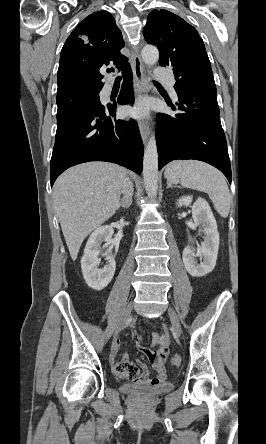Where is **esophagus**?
<instances>
[{
  "label": "esophagus",
  "mask_w": 266,
  "mask_h": 444,
  "mask_svg": "<svg viewBox=\"0 0 266 444\" xmlns=\"http://www.w3.org/2000/svg\"><path fill=\"white\" fill-rule=\"evenodd\" d=\"M132 69L133 74L137 83V94L138 96L142 95L144 92V84L146 82L145 74H144V66L140 57V54L138 51H136L133 55V61H132ZM139 129L141 133V137L144 143H146L150 129L147 121H140L139 122Z\"/></svg>",
  "instance_id": "esophagus-1"
}]
</instances>
